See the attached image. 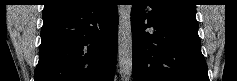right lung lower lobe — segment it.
I'll return each instance as SVG.
<instances>
[{
  "label": "right lung lower lobe",
  "instance_id": "1",
  "mask_svg": "<svg viewBox=\"0 0 237 81\" xmlns=\"http://www.w3.org/2000/svg\"><path fill=\"white\" fill-rule=\"evenodd\" d=\"M118 14L113 0H84L43 16L35 81H113Z\"/></svg>",
  "mask_w": 237,
  "mask_h": 81
}]
</instances>
